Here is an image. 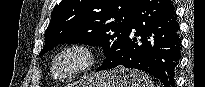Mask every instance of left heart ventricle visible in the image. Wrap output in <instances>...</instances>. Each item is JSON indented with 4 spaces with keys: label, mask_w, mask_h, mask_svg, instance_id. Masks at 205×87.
Segmentation results:
<instances>
[{
    "label": "left heart ventricle",
    "mask_w": 205,
    "mask_h": 87,
    "mask_svg": "<svg viewBox=\"0 0 205 87\" xmlns=\"http://www.w3.org/2000/svg\"><path fill=\"white\" fill-rule=\"evenodd\" d=\"M80 62V57L74 53H68L58 59L55 65V71L58 75L65 74L77 66Z\"/></svg>",
    "instance_id": "obj_1"
}]
</instances>
